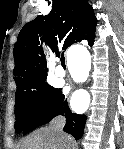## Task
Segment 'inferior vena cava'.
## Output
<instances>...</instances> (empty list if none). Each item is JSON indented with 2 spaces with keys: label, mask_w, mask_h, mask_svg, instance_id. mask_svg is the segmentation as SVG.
I'll list each match as a JSON object with an SVG mask.
<instances>
[{
  "label": "inferior vena cava",
  "mask_w": 124,
  "mask_h": 149,
  "mask_svg": "<svg viewBox=\"0 0 124 149\" xmlns=\"http://www.w3.org/2000/svg\"><path fill=\"white\" fill-rule=\"evenodd\" d=\"M64 125H65V118L60 116L54 120L51 128L56 133L57 137L63 140L62 145L64 146H62V149H71L70 145H72V139H68V136H64L62 131Z\"/></svg>",
  "instance_id": "inferior-vena-cava-1"
}]
</instances>
